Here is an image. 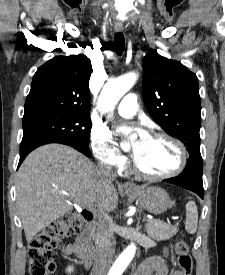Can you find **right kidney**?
Here are the masks:
<instances>
[{"mask_svg":"<svg viewBox=\"0 0 225 275\" xmlns=\"http://www.w3.org/2000/svg\"><path fill=\"white\" fill-rule=\"evenodd\" d=\"M73 270H74V268H73L72 266H69V267L66 269V271H67L68 273L73 272Z\"/></svg>","mask_w":225,"mask_h":275,"instance_id":"1","label":"right kidney"}]
</instances>
